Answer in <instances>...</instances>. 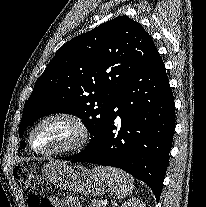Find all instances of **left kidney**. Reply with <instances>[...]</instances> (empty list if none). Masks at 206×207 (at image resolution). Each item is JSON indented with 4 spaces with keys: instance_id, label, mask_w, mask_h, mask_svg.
Returning <instances> with one entry per match:
<instances>
[{
    "instance_id": "5707ae66",
    "label": "left kidney",
    "mask_w": 206,
    "mask_h": 207,
    "mask_svg": "<svg viewBox=\"0 0 206 207\" xmlns=\"http://www.w3.org/2000/svg\"><path fill=\"white\" fill-rule=\"evenodd\" d=\"M121 207H145V203L140 199L131 198L122 204Z\"/></svg>"
}]
</instances>
